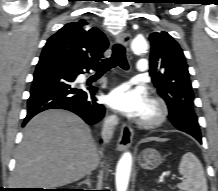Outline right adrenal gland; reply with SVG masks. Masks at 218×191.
Here are the masks:
<instances>
[{
  "instance_id": "obj_1",
  "label": "right adrenal gland",
  "mask_w": 218,
  "mask_h": 191,
  "mask_svg": "<svg viewBox=\"0 0 218 191\" xmlns=\"http://www.w3.org/2000/svg\"><path fill=\"white\" fill-rule=\"evenodd\" d=\"M91 174H92V173H89V174L87 175L86 180L80 182L79 185L86 184L88 187H91V182H90V176H91Z\"/></svg>"
}]
</instances>
